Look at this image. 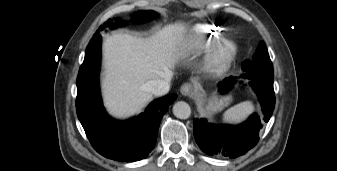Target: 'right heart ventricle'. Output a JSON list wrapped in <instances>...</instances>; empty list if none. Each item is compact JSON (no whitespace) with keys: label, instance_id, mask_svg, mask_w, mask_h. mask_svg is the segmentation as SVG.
I'll return each mask as SVG.
<instances>
[{"label":"right heart ventricle","instance_id":"obj_1","mask_svg":"<svg viewBox=\"0 0 337 171\" xmlns=\"http://www.w3.org/2000/svg\"><path fill=\"white\" fill-rule=\"evenodd\" d=\"M220 28L210 24L195 26L189 35V45L199 50H208L214 47L221 38Z\"/></svg>","mask_w":337,"mask_h":171}]
</instances>
